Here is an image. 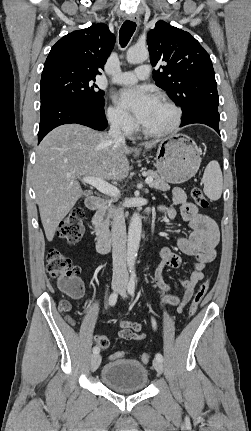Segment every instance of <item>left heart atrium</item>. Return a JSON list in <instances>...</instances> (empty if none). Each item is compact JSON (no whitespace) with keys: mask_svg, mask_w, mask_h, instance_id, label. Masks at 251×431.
I'll list each match as a JSON object with an SVG mask.
<instances>
[{"mask_svg":"<svg viewBox=\"0 0 251 431\" xmlns=\"http://www.w3.org/2000/svg\"><path fill=\"white\" fill-rule=\"evenodd\" d=\"M116 100L120 107L130 111L140 123H143L157 102L156 97L146 87L122 89Z\"/></svg>","mask_w":251,"mask_h":431,"instance_id":"obj_1","label":"left heart atrium"}]
</instances>
